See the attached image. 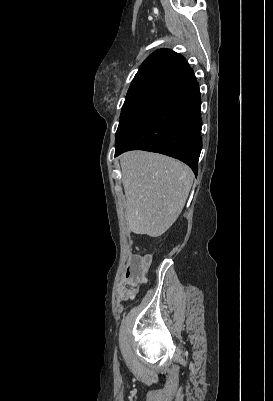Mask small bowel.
Segmentation results:
<instances>
[{
  "instance_id": "obj_1",
  "label": "small bowel",
  "mask_w": 273,
  "mask_h": 401,
  "mask_svg": "<svg viewBox=\"0 0 273 401\" xmlns=\"http://www.w3.org/2000/svg\"><path fill=\"white\" fill-rule=\"evenodd\" d=\"M121 296V302H128V299H130L131 303L136 304L139 301L138 296L133 295L131 290H123Z\"/></svg>"
}]
</instances>
